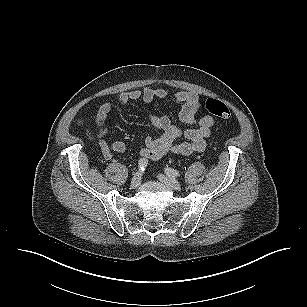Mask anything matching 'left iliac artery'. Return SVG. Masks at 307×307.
I'll use <instances>...</instances> for the list:
<instances>
[{
	"label": "left iliac artery",
	"instance_id": "1",
	"mask_svg": "<svg viewBox=\"0 0 307 307\" xmlns=\"http://www.w3.org/2000/svg\"><path fill=\"white\" fill-rule=\"evenodd\" d=\"M165 173L170 177V178H175V177H180V173L177 170H174L172 168H166Z\"/></svg>",
	"mask_w": 307,
	"mask_h": 307
}]
</instances>
